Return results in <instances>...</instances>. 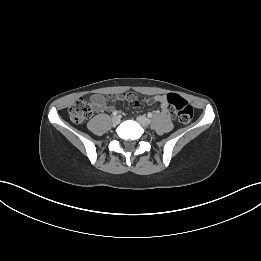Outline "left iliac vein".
I'll return each instance as SVG.
<instances>
[{
    "instance_id": "1",
    "label": "left iliac vein",
    "mask_w": 261,
    "mask_h": 261,
    "mask_svg": "<svg viewBox=\"0 0 261 261\" xmlns=\"http://www.w3.org/2000/svg\"><path fill=\"white\" fill-rule=\"evenodd\" d=\"M137 121L143 127H148L150 124V120L145 116H138Z\"/></svg>"
}]
</instances>
